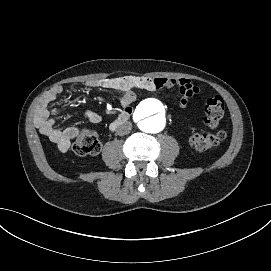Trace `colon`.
I'll use <instances>...</instances> for the list:
<instances>
[{"label":"colon","mask_w":271,"mask_h":271,"mask_svg":"<svg viewBox=\"0 0 271 271\" xmlns=\"http://www.w3.org/2000/svg\"><path fill=\"white\" fill-rule=\"evenodd\" d=\"M225 107L220 96H214L206 101L205 124L212 129L209 133H193L189 137V144L196 150L203 151L213 148L222 142L226 133L215 130L224 117ZM101 144L97 133L89 128L82 129L72 144L74 153L80 156L95 155L100 151Z\"/></svg>","instance_id":"5ec220e1"}]
</instances>
